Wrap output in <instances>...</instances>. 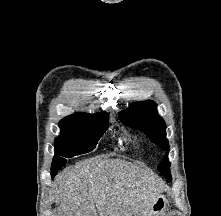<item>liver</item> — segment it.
Here are the masks:
<instances>
[{"label":"liver","instance_id":"1","mask_svg":"<svg viewBox=\"0 0 221 216\" xmlns=\"http://www.w3.org/2000/svg\"><path fill=\"white\" fill-rule=\"evenodd\" d=\"M163 185L152 171L94 157L56 176L54 199L60 216H147Z\"/></svg>","mask_w":221,"mask_h":216}]
</instances>
